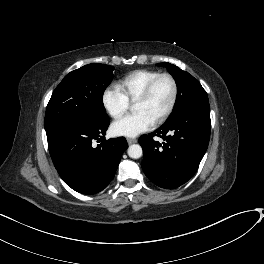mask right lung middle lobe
Here are the masks:
<instances>
[{
    "label": "right lung middle lobe",
    "instance_id": "right-lung-middle-lobe-1",
    "mask_svg": "<svg viewBox=\"0 0 264 264\" xmlns=\"http://www.w3.org/2000/svg\"><path fill=\"white\" fill-rule=\"evenodd\" d=\"M114 67L92 63L67 74L54 90L45 114V128L64 123L92 124L108 120L103 93Z\"/></svg>",
    "mask_w": 264,
    "mask_h": 264
}]
</instances>
